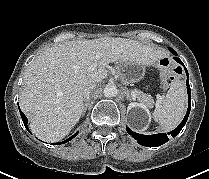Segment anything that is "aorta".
I'll list each match as a JSON object with an SVG mask.
<instances>
[{"label": "aorta", "instance_id": "aorta-1", "mask_svg": "<svg viewBox=\"0 0 209 179\" xmlns=\"http://www.w3.org/2000/svg\"><path fill=\"white\" fill-rule=\"evenodd\" d=\"M118 94L117 86L114 84H107L104 88V95L107 98L115 97Z\"/></svg>", "mask_w": 209, "mask_h": 179}]
</instances>
